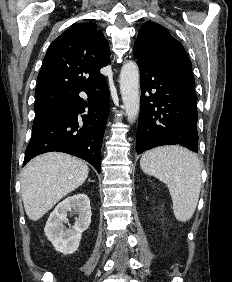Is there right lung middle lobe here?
Masks as SVG:
<instances>
[{
  "label": "right lung middle lobe",
  "instance_id": "dd1d6c3e",
  "mask_svg": "<svg viewBox=\"0 0 232 282\" xmlns=\"http://www.w3.org/2000/svg\"><path fill=\"white\" fill-rule=\"evenodd\" d=\"M35 94L36 102L34 122L39 121L56 111L70 97L69 95L55 91L35 92Z\"/></svg>",
  "mask_w": 232,
  "mask_h": 282
}]
</instances>
